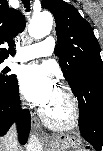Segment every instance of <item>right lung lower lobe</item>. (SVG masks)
Listing matches in <instances>:
<instances>
[{
  "label": "right lung lower lobe",
  "mask_w": 103,
  "mask_h": 151,
  "mask_svg": "<svg viewBox=\"0 0 103 151\" xmlns=\"http://www.w3.org/2000/svg\"><path fill=\"white\" fill-rule=\"evenodd\" d=\"M13 123L17 124L18 137L25 144L30 131V112L20 110L19 90L4 92L0 90V135H4Z\"/></svg>",
  "instance_id": "right-lung-lower-lobe-1"
}]
</instances>
